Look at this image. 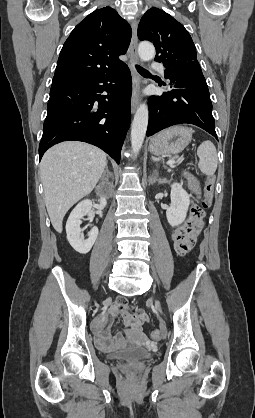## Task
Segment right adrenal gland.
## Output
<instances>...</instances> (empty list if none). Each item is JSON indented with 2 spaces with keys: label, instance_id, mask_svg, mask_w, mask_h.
<instances>
[{
  "label": "right adrenal gland",
  "instance_id": "2a0ac1e0",
  "mask_svg": "<svg viewBox=\"0 0 255 418\" xmlns=\"http://www.w3.org/2000/svg\"><path fill=\"white\" fill-rule=\"evenodd\" d=\"M106 175H107V180H108V178H111L112 177V173L109 172V169H108V166L107 165H106V168H105V171L103 173L102 178H105Z\"/></svg>",
  "mask_w": 255,
  "mask_h": 418
}]
</instances>
